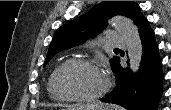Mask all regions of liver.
<instances>
[{
  "mask_svg": "<svg viewBox=\"0 0 171 110\" xmlns=\"http://www.w3.org/2000/svg\"><path fill=\"white\" fill-rule=\"evenodd\" d=\"M81 108H86V109H92V108H96L98 110H112L114 107L110 106V105H88V106H84Z\"/></svg>",
  "mask_w": 171,
  "mask_h": 110,
  "instance_id": "liver-1",
  "label": "liver"
}]
</instances>
